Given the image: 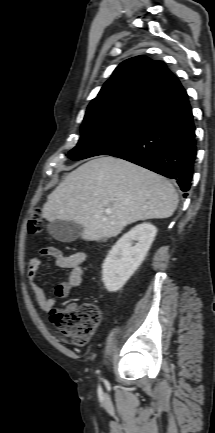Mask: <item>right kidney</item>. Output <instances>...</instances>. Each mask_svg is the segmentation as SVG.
I'll list each match as a JSON object with an SVG mask.
<instances>
[{
	"label": "right kidney",
	"mask_w": 215,
	"mask_h": 433,
	"mask_svg": "<svg viewBox=\"0 0 215 433\" xmlns=\"http://www.w3.org/2000/svg\"><path fill=\"white\" fill-rule=\"evenodd\" d=\"M156 233L154 225L142 223L116 242L102 266V281L108 291L116 292L124 286L143 262Z\"/></svg>",
	"instance_id": "obj_1"
}]
</instances>
